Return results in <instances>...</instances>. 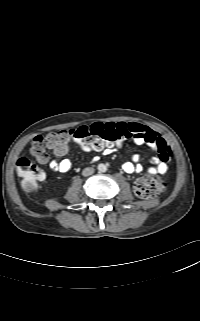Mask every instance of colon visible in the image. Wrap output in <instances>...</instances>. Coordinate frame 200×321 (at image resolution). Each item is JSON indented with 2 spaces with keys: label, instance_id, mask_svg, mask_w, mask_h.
<instances>
[{
  "label": "colon",
  "instance_id": "obj_1",
  "mask_svg": "<svg viewBox=\"0 0 200 321\" xmlns=\"http://www.w3.org/2000/svg\"><path fill=\"white\" fill-rule=\"evenodd\" d=\"M69 138L74 139L83 148L99 150L107 144L121 146L129 139V133L123 128H113L102 124L80 126L70 131H58L45 136H37L31 145L30 154L34 158H19L16 170L22 179V184L27 192H33L38 182L45 177L39 163L48 159V150L60 152L67 145ZM165 190V182L156 176H144L134 183V191L140 198L151 199L159 196Z\"/></svg>",
  "mask_w": 200,
  "mask_h": 321
}]
</instances>
